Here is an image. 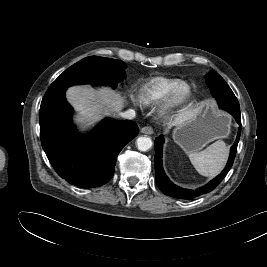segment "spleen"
Here are the masks:
<instances>
[{
	"mask_svg": "<svg viewBox=\"0 0 267 267\" xmlns=\"http://www.w3.org/2000/svg\"><path fill=\"white\" fill-rule=\"evenodd\" d=\"M228 155L229 147L218 140L201 152L190 153L189 159L199 174L214 177L224 168Z\"/></svg>",
	"mask_w": 267,
	"mask_h": 267,
	"instance_id": "3e777b00",
	"label": "spleen"
}]
</instances>
